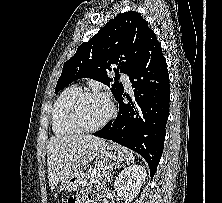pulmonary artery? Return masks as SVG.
<instances>
[{
    "instance_id": "1",
    "label": "pulmonary artery",
    "mask_w": 222,
    "mask_h": 203,
    "mask_svg": "<svg viewBox=\"0 0 222 203\" xmlns=\"http://www.w3.org/2000/svg\"><path fill=\"white\" fill-rule=\"evenodd\" d=\"M122 80L127 88L131 87V82L127 74H122Z\"/></svg>"
}]
</instances>
